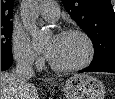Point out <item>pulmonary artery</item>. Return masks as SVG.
I'll list each match as a JSON object with an SVG mask.
<instances>
[{"label": "pulmonary artery", "instance_id": "pulmonary-artery-1", "mask_svg": "<svg viewBox=\"0 0 115 99\" xmlns=\"http://www.w3.org/2000/svg\"><path fill=\"white\" fill-rule=\"evenodd\" d=\"M41 14L47 21H56L59 17V8L54 2H45L41 9Z\"/></svg>", "mask_w": 115, "mask_h": 99}]
</instances>
